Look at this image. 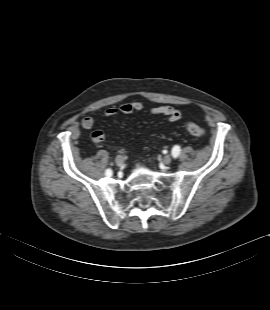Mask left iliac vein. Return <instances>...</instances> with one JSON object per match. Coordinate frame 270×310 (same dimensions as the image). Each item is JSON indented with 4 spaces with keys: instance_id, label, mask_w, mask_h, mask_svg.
<instances>
[{
    "instance_id": "left-iliac-vein-1",
    "label": "left iliac vein",
    "mask_w": 270,
    "mask_h": 310,
    "mask_svg": "<svg viewBox=\"0 0 270 310\" xmlns=\"http://www.w3.org/2000/svg\"><path fill=\"white\" fill-rule=\"evenodd\" d=\"M171 161H172V158H171L170 155H166V156L163 158V162H164V164H166V165H169V164L171 163Z\"/></svg>"
}]
</instances>
